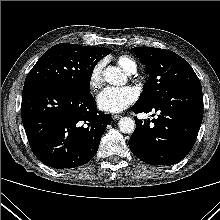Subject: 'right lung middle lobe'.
Returning a JSON list of instances; mask_svg holds the SVG:
<instances>
[{"label":"right lung middle lobe","instance_id":"dd1d6c3e","mask_svg":"<svg viewBox=\"0 0 220 220\" xmlns=\"http://www.w3.org/2000/svg\"><path fill=\"white\" fill-rule=\"evenodd\" d=\"M105 56L98 47L57 44L39 58L24 85L53 83L89 90L94 67Z\"/></svg>","mask_w":220,"mask_h":220}]
</instances>
